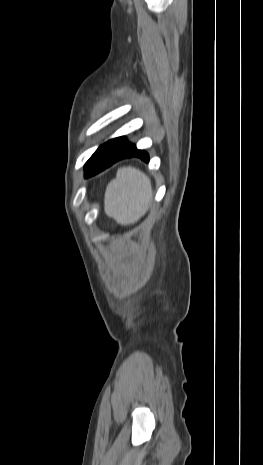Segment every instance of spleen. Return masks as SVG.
<instances>
[{
	"mask_svg": "<svg viewBox=\"0 0 263 465\" xmlns=\"http://www.w3.org/2000/svg\"><path fill=\"white\" fill-rule=\"evenodd\" d=\"M152 198L150 179L132 167L117 171L105 192V213L121 225L138 221L147 211Z\"/></svg>",
	"mask_w": 263,
	"mask_h": 465,
	"instance_id": "3e777b00",
	"label": "spleen"
}]
</instances>
